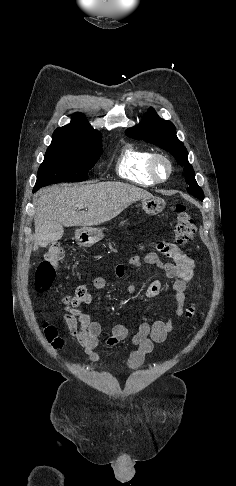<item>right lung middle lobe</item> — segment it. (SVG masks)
Returning <instances> with one entry per match:
<instances>
[{"mask_svg": "<svg viewBox=\"0 0 236 486\" xmlns=\"http://www.w3.org/2000/svg\"><path fill=\"white\" fill-rule=\"evenodd\" d=\"M101 142L53 137L40 165L33 192L59 182H79L88 178L103 150Z\"/></svg>", "mask_w": 236, "mask_h": 486, "instance_id": "dd1d6c3e", "label": "right lung middle lobe"}]
</instances>
